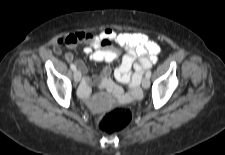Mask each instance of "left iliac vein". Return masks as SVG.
Listing matches in <instances>:
<instances>
[{
  "label": "left iliac vein",
  "mask_w": 225,
  "mask_h": 155,
  "mask_svg": "<svg viewBox=\"0 0 225 155\" xmlns=\"http://www.w3.org/2000/svg\"><path fill=\"white\" fill-rule=\"evenodd\" d=\"M149 86H150V80L148 77L145 76L142 80V87L144 89H147V88H149Z\"/></svg>",
  "instance_id": "left-iliac-vein-1"
}]
</instances>
